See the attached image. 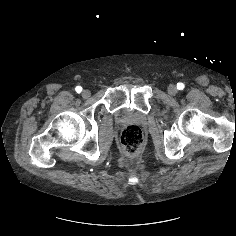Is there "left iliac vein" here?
Wrapping results in <instances>:
<instances>
[{
	"label": "left iliac vein",
	"instance_id": "obj_1",
	"mask_svg": "<svg viewBox=\"0 0 236 236\" xmlns=\"http://www.w3.org/2000/svg\"><path fill=\"white\" fill-rule=\"evenodd\" d=\"M177 92H178V90H177V87L175 85L171 84V85L168 86V93L170 95H175V94H177Z\"/></svg>",
	"mask_w": 236,
	"mask_h": 236
}]
</instances>
